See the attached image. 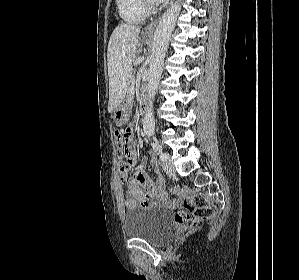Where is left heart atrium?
Listing matches in <instances>:
<instances>
[{
	"label": "left heart atrium",
	"mask_w": 299,
	"mask_h": 280,
	"mask_svg": "<svg viewBox=\"0 0 299 280\" xmlns=\"http://www.w3.org/2000/svg\"><path fill=\"white\" fill-rule=\"evenodd\" d=\"M154 3H161V2H163V1H165V0H152Z\"/></svg>",
	"instance_id": "obj_1"
}]
</instances>
